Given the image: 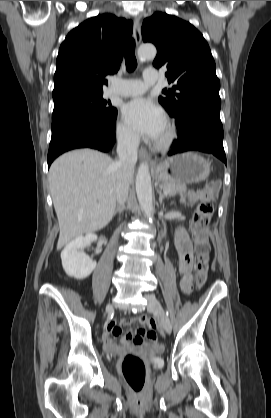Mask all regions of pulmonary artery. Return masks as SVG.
<instances>
[{
    "label": "pulmonary artery",
    "mask_w": 271,
    "mask_h": 418,
    "mask_svg": "<svg viewBox=\"0 0 271 418\" xmlns=\"http://www.w3.org/2000/svg\"><path fill=\"white\" fill-rule=\"evenodd\" d=\"M159 80L158 72L155 69L148 68L143 73V79H130L123 81H114L109 93L112 95L129 97L143 94L150 85Z\"/></svg>",
    "instance_id": "1"
}]
</instances>
